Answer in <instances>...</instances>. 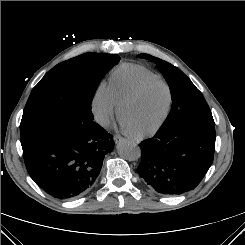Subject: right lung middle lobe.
<instances>
[{
	"mask_svg": "<svg viewBox=\"0 0 245 245\" xmlns=\"http://www.w3.org/2000/svg\"><path fill=\"white\" fill-rule=\"evenodd\" d=\"M117 54L85 53L53 67L33 88L21 124V145L68 125L93 121L91 103L101 78Z\"/></svg>",
	"mask_w": 245,
	"mask_h": 245,
	"instance_id": "right-lung-middle-lobe-1",
	"label": "right lung middle lobe"
}]
</instances>
